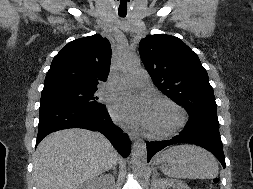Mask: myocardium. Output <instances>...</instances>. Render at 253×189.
Returning a JSON list of instances; mask_svg holds the SVG:
<instances>
[{
  "instance_id": "obj_1",
  "label": "myocardium",
  "mask_w": 253,
  "mask_h": 189,
  "mask_svg": "<svg viewBox=\"0 0 253 189\" xmlns=\"http://www.w3.org/2000/svg\"><path fill=\"white\" fill-rule=\"evenodd\" d=\"M154 105H165L171 108L175 114H176V119L175 122L167 129L164 130H156L150 127H147L148 135L152 138H157V139H163L170 137L174 134H176L178 131H180L186 121H187V114L185 110L176 102L173 100L166 98V97H161L157 98L155 100Z\"/></svg>"
}]
</instances>
